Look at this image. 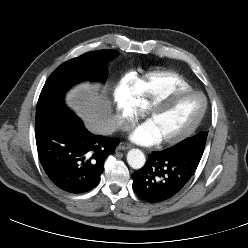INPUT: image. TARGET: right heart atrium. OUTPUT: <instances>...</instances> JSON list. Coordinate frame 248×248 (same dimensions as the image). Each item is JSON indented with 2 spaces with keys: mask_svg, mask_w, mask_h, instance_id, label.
<instances>
[{
  "mask_svg": "<svg viewBox=\"0 0 248 248\" xmlns=\"http://www.w3.org/2000/svg\"><path fill=\"white\" fill-rule=\"evenodd\" d=\"M114 104L118 114L117 125L123 130H129L144 111L135 94L125 85L116 90Z\"/></svg>",
  "mask_w": 248,
  "mask_h": 248,
  "instance_id": "right-heart-atrium-1",
  "label": "right heart atrium"
}]
</instances>
